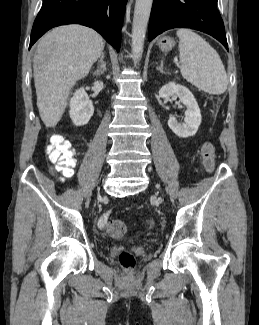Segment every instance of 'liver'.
Returning <instances> with one entry per match:
<instances>
[{"label":"liver","instance_id":"obj_1","mask_svg":"<svg viewBox=\"0 0 259 325\" xmlns=\"http://www.w3.org/2000/svg\"><path fill=\"white\" fill-rule=\"evenodd\" d=\"M103 50V38L77 24L57 27L40 39L33 71L37 107L46 127L60 121L70 90L89 73Z\"/></svg>","mask_w":259,"mask_h":325}]
</instances>
